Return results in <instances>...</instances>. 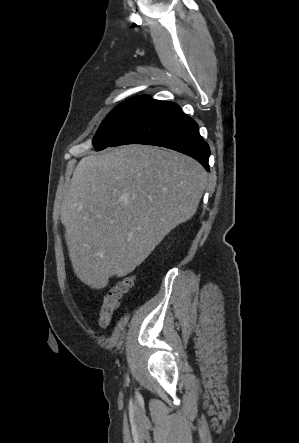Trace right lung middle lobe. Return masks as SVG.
I'll return each mask as SVG.
<instances>
[{
    "label": "right lung middle lobe",
    "mask_w": 299,
    "mask_h": 443,
    "mask_svg": "<svg viewBox=\"0 0 299 443\" xmlns=\"http://www.w3.org/2000/svg\"><path fill=\"white\" fill-rule=\"evenodd\" d=\"M153 101L147 95L136 96L114 108L93 139L95 149L99 151L110 146Z\"/></svg>",
    "instance_id": "dd1d6c3e"
}]
</instances>
